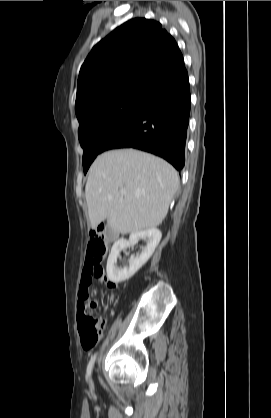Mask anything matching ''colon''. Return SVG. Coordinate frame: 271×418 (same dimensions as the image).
Listing matches in <instances>:
<instances>
[{"mask_svg":"<svg viewBox=\"0 0 271 418\" xmlns=\"http://www.w3.org/2000/svg\"><path fill=\"white\" fill-rule=\"evenodd\" d=\"M107 238L103 226L90 233V240L86 252V283L91 285L94 279H104V270L101 266L107 251ZM89 285V286H90ZM89 288V287H88ZM88 288L83 293V300L88 301ZM79 334L82 347L86 350L93 348L98 342L100 333L105 327V320L96 318L88 309H83L78 314Z\"/></svg>","mask_w":271,"mask_h":418,"instance_id":"1","label":"colon"}]
</instances>
